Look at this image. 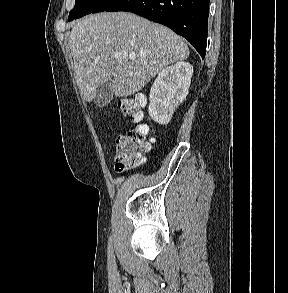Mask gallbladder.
<instances>
[{
    "instance_id": "bac80fb5",
    "label": "gallbladder",
    "mask_w": 288,
    "mask_h": 293,
    "mask_svg": "<svg viewBox=\"0 0 288 293\" xmlns=\"http://www.w3.org/2000/svg\"><path fill=\"white\" fill-rule=\"evenodd\" d=\"M113 97V81L109 79L108 81L101 84L96 92L94 102L99 107H104L108 105Z\"/></svg>"
}]
</instances>
